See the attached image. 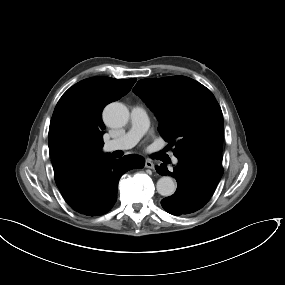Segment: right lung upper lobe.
<instances>
[{"label": "right lung upper lobe", "mask_w": 285, "mask_h": 285, "mask_svg": "<svg viewBox=\"0 0 285 285\" xmlns=\"http://www.w3.org/2000/svg\"><path fill=\"white\" fill-rule=\"evenodd\" d=\"M136 79L117 80L110 77L84 79L70 87L58 101L49 127V153L58 188L63 187L75 175L92 162L108 156L98 148L86 155H74L56 139L55 129L61 119H69L90 132H100L105 128L102 110L110 102L126 95Z\"/></svg>", "instance_id": "cb5924a9"}]
</instances>
